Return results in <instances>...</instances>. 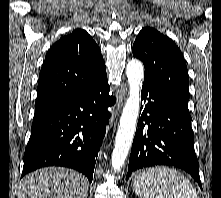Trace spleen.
Returning a JSON list of instances; mask_svg holds the SVG:
<instances>
[{"mask_svg": "<svg viewBox=\"0 0 221 198\" xmlns=\"http://www.w3.org/2000/svg\"><path fill=\"white\" fill-rule=\"evenodd\" d=\"M132 188L140 198H199L191 182L169 167H154L138 173Z\"/></svg>", "mask_w": 221, "mask_h": 198, "instance_id": "1", "label": "spleen"}]
</instances>
